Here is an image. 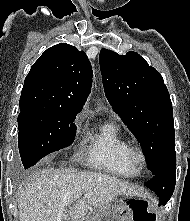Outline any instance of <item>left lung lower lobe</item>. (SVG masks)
<instances>
[{"mask_svg":"<svg viewBox=\"0 0 190 221\" xmlns=\"http://www.w3.org/2000/svg\"><path fill=\"white\" fill-rule=\"evenodd\" d=\"M176 156L169 159L161 168L145 183V186L153 190L158 196L161 205H165L173 194L176 177Z\"/></svg>","mask_w":190,"mask_h":221,"instance_id":"1","label":"left lung lower lobe"}]
</instances>
